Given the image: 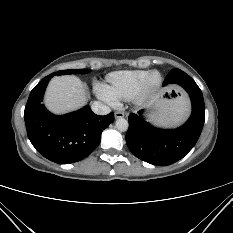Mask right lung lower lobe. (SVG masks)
I'll return each mask as SVG.
<instances>
[{"mask_svg": "<svg viewBox=\"0 0 233 233\" xmlns=\"http://www.w3.org/2000/svg\"><path fill=\"white\" fill-rule=\"evenodd\" d=\"M53 76L43 78L31 91L24 119L28 138L40 154L55 163L70 164L95 150L102 131L114 121V113L98 116L88 106L61 116L50 113L42 98Z\"/></svg>", "mask_w": 233, "mask_h": 233, "instance_id": "obj_1", "label": "right lung lower lobe"}]
</instances>
